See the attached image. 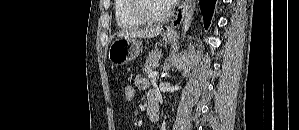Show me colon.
Instances as JSON below:
<instances>
[{"label":"colon","instance_id":"colon-1","mask_svg":"<svg viewBox=\"0 0 299 130\" xmlns=\"http://www.w3.org/2000/svg\"><path fill=\"white\" fill-rule=\"evenodd\" d=\"M136 87L132 83H127L123 88V97L126 102H130L135 98Z\"/></svg>","mask_w":299,"mask_h":130}]
</instances>
